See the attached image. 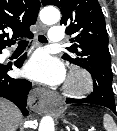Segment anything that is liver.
Masks as SVG:
<instances>
[{
	"mask_svg": "<svg viewBox=\"0 0 117 131\" xmlns=\"http://www.w3.org/2000/svg\"><path fill=\"white\" fill-rule=\"evenodd\" d=\"M21 118L20 110L13 103L0 98V131H16Z\"/></svg>",
	"mask_w": 117,
	"mask_h": 131,
	"instance_id": "obj_1",
	"label": "liver"
}]
</instances>
